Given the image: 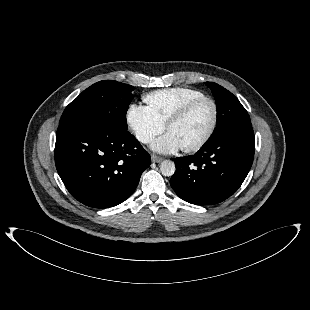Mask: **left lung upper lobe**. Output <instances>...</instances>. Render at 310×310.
<instances>
[{
	"mask_svg": "<svg viewBox=\"0 0 310 310\" xmlns=\"http://www.w3.org/2000/svg\"><path fill=\"white\" fill-rule=\"evenodd\" d=\"M216 101L217 125L208 142H213L222 137L251 125L248 112L239 100L228 90L214 82H207Z\"/></svg>",
	"mask_w": 310,
	"mask_h": 310,
	"instance_id": "5c2ea615",
	"label": "left lung upper lobe"
}]
</instances>
